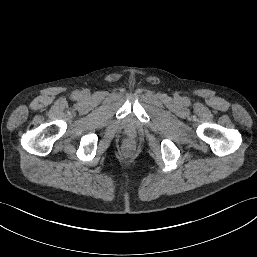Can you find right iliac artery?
<instances>
[{
    "mask_svg": "<svg viewBox=\"0 0 257 257\" xmlns=\"http://www.w3.org/2000/svg\"><path fill=\"white\" fill-rule=\"evenodd\" d=\"M73 96L76 98V97H78V92H74L73 93Z\"/></svg>",
    "mask_w": 257,
    "mask_h": 257,
    "instance_id": "obj_1",
    "label": "right iliac artery"
}]
</instances>
